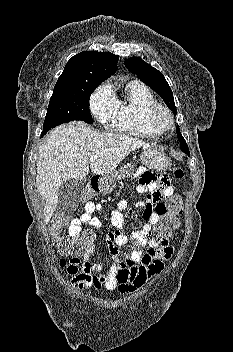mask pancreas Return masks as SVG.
Returning <instances> with one entry per match:
<instances>
[{
  "mask_svg": "<svg viewBox=\"0 0 233 352\" xmlns=\"http://www.w3.org/2000/svg\"><path fill=\"white\" fill-rule=\"evenodd\" d=\"M134 169H135V165L131 163H128L127 165L122 166L119 169V171H117V179L131 177Z\"/></svg>",
  "mask_w": 233,
  "mask_h": 352,
  "instance_id": "1",
  "label": "pancreas"
}]
</instances>
